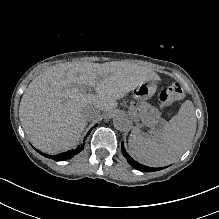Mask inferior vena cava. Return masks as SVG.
<instances>
[{
    "mask_svg": "<svg viewBox=\"0 0 219 219\" xmlns=\"http://www.w3.org/2000/svg\"><path fill=\"white\" fill-rule=\"evenodd\" d=\"M85 117L88 122L94 123L99 120L100 114L97 109L91 108L86 111Z\"/></svg>",
    "mask_w": 219,
    "mask_h": 219,
    "instance_id": "inferior-vena-cava-1",
    "label": "inferior vena cava"
}]
</instances>
